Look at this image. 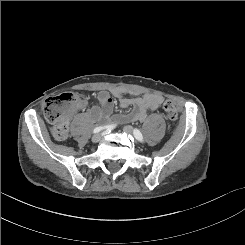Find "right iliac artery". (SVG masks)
Listing matches in <instances>:
<instances>
[{
  "instance_id": "obj_1",
  "label": "right iliac artery",
  "mask_w": 245,
  "mask_h": 245,
  "mask_svg": "<svg viewBox=\"0 0 245 245\" xmlns=\"http://www.w3.org/2000/svg\"><path fill=\"white\" fill-rule=\"evenodd\" d=\"M115 127V125H107V126H99V127H96L94 130H93V133H99L100 131H102L103 129H107V130H111Z\"/></svg>"
}]
</instances>
